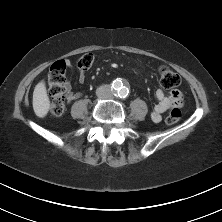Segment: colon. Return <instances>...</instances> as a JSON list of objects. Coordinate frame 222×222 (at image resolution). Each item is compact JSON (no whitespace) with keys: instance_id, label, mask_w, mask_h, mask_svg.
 <instances>
[{"instance_id":"obj_1","label":"colon","mask_w":222,"mask_h":222,"mask_svg":"<svg viewBox=\"0 0 222 222\" xmlns=\"http://www.w3.org/2000/svg\"><path fill=\"white\" fill-rule=\"evenodd\" d=\"M96 56L92 52L85 53L79 57L77 60V66L80 71L85 72L89 70L94 62ZM67 69V63L65 60H58L54 62L49 70L48 74V88L49 93L52 97V102L50 104V113L53 116H60L65 110V99H66V89H65V74ZM159 82L162 87L166 89H174L178 87L181 83V78L178 73L172 69L163 66L159 69ZM181 110L176 111L171 109L169 115L167 116L165 122L167 125H173L177 123L181 118Z\"/></svg>"}]
</instances>
